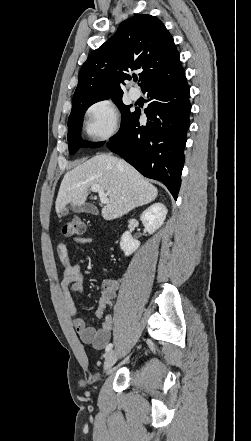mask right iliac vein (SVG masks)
Instances as JSON below:
<instances>
[{
	"mask_svg": "<svg viewBox=\"0 0 251 441\" xmlns=\"http://www.w3.org/2000/svg\"><path fill=\"white\" fill-rule=\"evenodd\" d=\"M118 359V354L116 351L112 350L109 351L106 355H105V361H104V365H103V371H107L109 370L117 361Z\"/></svg>",
	"mask_w": 251,
	"mask_h": 441,
	"instance_id": "63e3f726",
	"label": "right iliac vein"
}]
</instances>
